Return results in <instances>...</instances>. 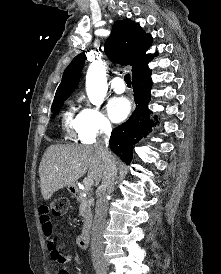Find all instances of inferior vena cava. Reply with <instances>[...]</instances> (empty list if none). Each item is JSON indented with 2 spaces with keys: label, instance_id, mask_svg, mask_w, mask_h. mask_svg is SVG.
<instances>
[{
  "label": "inferior vena cava",
  "instance_id": "602c4592",
  "mask_svg": "<svg viewBox=\"0 0 221 274\" xmlns=\"http://www.w3.org/2000/svg\"><path fill=\"white\" fill-rule=\"evenodd\" d=\"M111 130L110 125L105 126L103 128L105 133L103 139L95 145L105 162V170L103 173L102 183L97 191L95 217L92 226L91 255L93 260L99 259L103 255L102 231L105 227V219L107 215V197L114 190L115 178L117 175L115 159L108 150Z\"/></svg>",
  "mask_w": 221,
  "mask_h": 274
}]
</instances>
